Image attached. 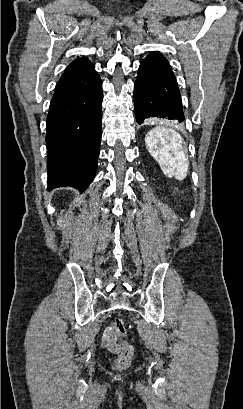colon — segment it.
<instances>
[{
	"mask_svg": "<svg viewBox=\"0 0 243 409\" xmlns=\"http://www.w3.org/2000/svg\"><path fill=\"white\" fill-rule=\"evenodd\" d=\"M114 330L117 339L121 342L122 350L114 362V366L120 369L127 368L134 354L133 346L126 340L127 329L124 320L118 317L114 322Z\"/></svg>",
	"mask_w": 243,
	"mask_h": 409,
	"instance_id": "obj_1",
	"label": "colon"
}]
</instances>
